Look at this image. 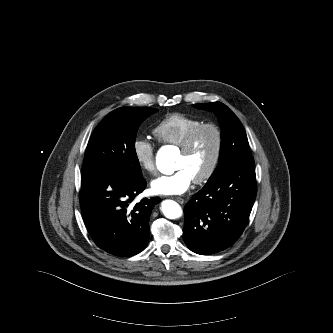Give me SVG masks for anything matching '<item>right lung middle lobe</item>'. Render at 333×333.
I'll return each mask as SVG.
<instances>
[{
	"label": "right lung middle lobe",
	"mask_w": 333,
	"mask_h": 333,
	"mask_svg": "<svg viewBox=\"0 0 333 333\" xmlns=\"http://www.w3.org/2000/svg\"><path fill=\"white\" fill-rule=\"evenodd\" d=\"M158 110L149 107H121L105 116L87 145L84 171H119L142 177L135 151L140 124Z\"/></svg>",
	"instance_id": "1"
}]
</instances>
